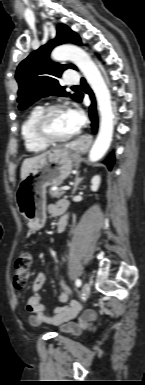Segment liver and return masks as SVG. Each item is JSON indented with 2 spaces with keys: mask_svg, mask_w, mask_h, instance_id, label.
<instances>
[{
  "mask_svg": "<svg viewBox=\"0 0 145 385\" xmlns=\"http://www.w3.org/2000/svg\"><path fill=\"white\" fill-rule=\"evenodd\" d=\"M46 153L40 154V155L32 157V158H27L23 161L22 166H21V180H24L28 176V174L31 171L34 164L39 159H41Z\"/></svg>",
  "mask_w": 145,
  "mask_h": 385,
  "instance_id": "obj_1",
  "label": "liver"
}]
</instances>
